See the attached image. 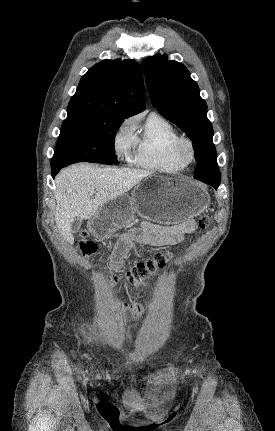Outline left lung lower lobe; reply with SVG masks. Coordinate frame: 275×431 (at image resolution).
<instances>
[{
	"instance_id": "obj_1",
	"label": "left lung lower lobe",
	"mask_w": 275,
	"mask_h": 431,
	"mask_svg": "<svg viewBox=\"0 0 275 431\" xmlns=\"http://www.w3.org/2000/svg\"><path fill=\"white\" fill-rule=\"evenodd\" d=\"M214 176H215L214 173L208 172V173L196 174L194 177L196 179L206 183V184L213 186L215 189H217L220 185V182H217L215 180Z\"/></svg>"
}]
</instances>
